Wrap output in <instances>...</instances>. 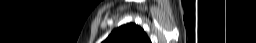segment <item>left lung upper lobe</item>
Here are the masks:
<instances>
[{
	"mask_svg": "<svg viewBox=\"0 0 256 43\" xmlns=\"http://www.w3.org/2000/svg\"><path fill=\"white\" fill-rule=\"evenodd\" d=\"M104 43H151L142 28L135 24L120 26L112 31Z\"/></svg>",
	"mask_w": 256,
	"mask_h": 43,
	"instance_id": "1",
	"label": "left lung upper lobe"
}]
</instances>
